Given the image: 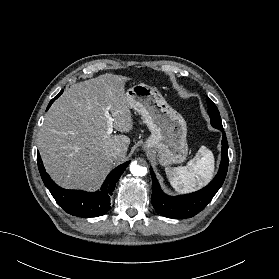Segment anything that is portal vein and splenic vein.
I'll return each instance as SVG.
<instances>
[{
	"instance_id": "1",
	"label": "portal vein and splenic vein",
	"mask_w": 279,
	"mask_h": 279,
	"mask_svg": "<svg viewBox=\"0 0 279 279\" xmlns=\"http://www.w3.org/2000/svg\"><path fill=\"white\" fill-rule=\"evenodd\" d=\"M106 118H107V124H108L107 133H108V134H112V132H113V121H114V119L110 116V114H109L108 111H106Z\"/></svg>"
}]
</instances>
